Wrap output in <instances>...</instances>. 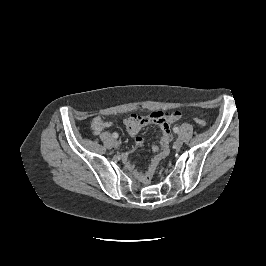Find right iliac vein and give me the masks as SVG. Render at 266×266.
I'll return each instance as SVG.
<instances>
[{"mask_svg":"<svg viewBox=\"0 0 266 266\" xmlns=\"http://www.w3.org/2000/svg\"><path fill=\"white\" fill-rule=\"evenodd\" d=\"M113 144H114L115 147H119L120 146V142L118 140H114Z\"/></svg>","mask_w":266,"mask_h":266,"instance_id":"obj_1","label":"right iliac vein"}]
</instances>
